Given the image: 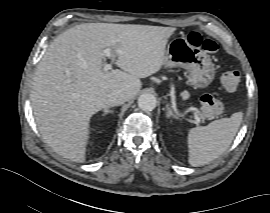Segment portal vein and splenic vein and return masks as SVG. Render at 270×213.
I'll list each match as a JSON object with an SVG mask.
<instances>
[{"label":"portal vein and splenic vein","instance_id":"1","mask_svg":"<svg viewBox=\"0 0 270 213\" xmlns=\"http://www.w3.org/2000/svg\"><path fill=\"white\" fill-rule=\"evenodd\" d=\"M103 54H104V56L108 57L109 59L114 58V56L112 54V51H111V48L104 49ZM103 69H104V71H108V70L112 69V65L111 64H106ZM189 110L191 112H193L197 123H201L202 121H201V117H200L199 113L194 108H189Z\"/></svg>","mask_w":270,"mask_h":213}]
</instances>
